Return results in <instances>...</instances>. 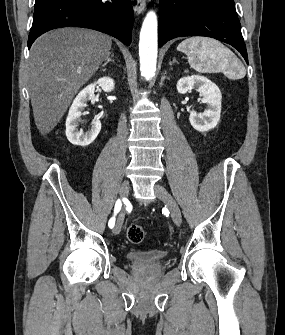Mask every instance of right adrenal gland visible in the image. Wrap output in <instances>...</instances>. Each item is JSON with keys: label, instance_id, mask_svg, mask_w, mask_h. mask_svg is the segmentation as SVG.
<instances>
[{"label": "right adrenal gland", "instance_id": "right-adrenal-gland-1", "mask_svg": "<svg viewBox=\"0 0 285 335\" xmlns=\"http://www.w3.org/2000/svg\"><path fill=\"white\" fill-rule=\"evenodd\" d=\"M111 56V58H109ZM109 62H112V64H115V60H113V54H107L106 62H104L102 68H105Z\"/></svg>", "mask_w": 285, "mask_h": 335}]
</instances>
